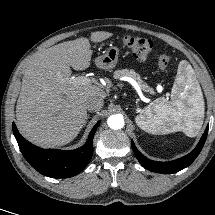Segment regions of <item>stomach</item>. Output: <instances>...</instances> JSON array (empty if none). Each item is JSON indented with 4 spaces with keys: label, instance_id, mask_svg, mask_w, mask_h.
Masks as SVG:
<instances>
[{
    "label": "stomach",
    "instance_id": "1",
    "mask_svg": "<svg viewBox=\"0 0 215 215\" xmlns=\"http://www.w3.org/2000/svg\"><path fill=\"white\" fill-rule=\"evenodd\" d=\"M119 57V49L117 47H109L106 49L103 55L99 56L95 60V64L101 69H112L116 66ZM137 125L144 130V126L141 123Z\"/></svg>",
    "mask_w": 215,
    "mask_h": 215
}]
</instances>
